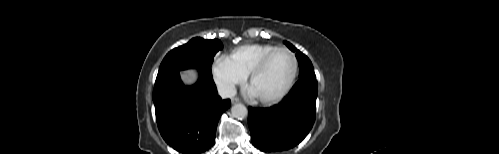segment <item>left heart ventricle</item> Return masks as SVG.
Returning <instances> with one entry per match:
<instances>
[{
    "label": "left heart ventricle",
    "mask_w": 499,
    "mask_h": 154,
    "mask_svg": "<svg viewBox=\"0 0 499 154\" xmlns=\"http://www.w3.org/2000/svg\"><path fill=\"white\" fill-rule=\"evenodd\" d=\"M293 69L291 57L285 52L275 54L265 69L254 78L250 87L257 97L277 95L287 84Z\"/></svg>",
    "instance_id": "b2bd125f"
}]
</instances>
